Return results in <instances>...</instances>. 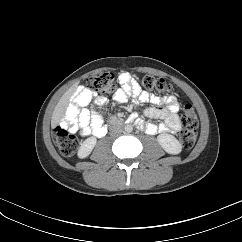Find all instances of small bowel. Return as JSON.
Segmentation results:
<instances>
[{
	"instance_id": "1",
	"label": "small bowel",
	"mask_w": 242,
	"mask_h": 242,
	"mask_svg": "<svg viewBox=\"0 0 242 242\" xmlns=\"http://www.w3.org/2000/svg\"><path fill=\"white\" fill-rule=\"evenodd\" d=\"M120 88L115 94V100L118 104H123L127 98H131L135 104L150 102L154 107L145 109L147 116L161 118L164 124L155 125L149 123L146 125V131L149 134L156 132H176L181 128L178 117L179 102L173 95L160 97L155 94H149L141 91L126 74L119 75ZM93 99L94 107L91 111L80 109L86 106ZM106 100L102 97L95 96L89 89L81 88L73 96V105H71L62 119V125L70 132H76L80 129L82 136H103L101 133L105 130L103 126V116L96 110L105 104Z\"/></svg>"
}]
</instances>
